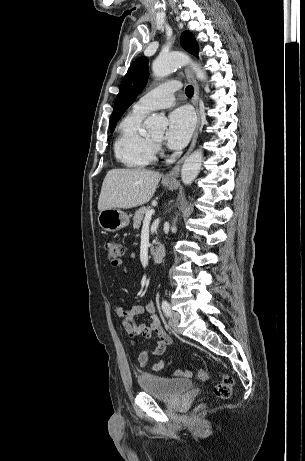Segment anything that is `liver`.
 <instances>
[{"label": "liver", "instance_id": "obj_1", "mask_svg": "<svg viewBox=\"0 0 305 461\" xmlns=\"http://www.w3.org/2000/svg\"><path fill=\"white\" fill-rule=\"evenodd\" d=\"M159 172L146 169H112L104 178L98 210L129 209L152 198L161 179Z\"/></svg>", "mask_w": 305, "mask_h": 461}]
</instances>
